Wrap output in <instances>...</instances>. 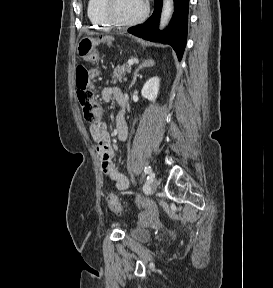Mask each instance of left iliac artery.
I'll list each match as a JSON object with an SVG mask.
<instances>
[{"instance_id": "1", "label": "left iliac artery", "mask_w": 273, "mask_h": 288, "mask_svg": "<svg viewBox=\"0 0 273 288\" xmlns=\"http://www.w3.org/2000/svg\"><path fill=\"white\" fill-rule=\"evenodd\" d=\"M144 172H145V174L148 175L147 179L149 181H152V179L155 177L150 166L145 167Z\"/></svg>"}]
</instances>
